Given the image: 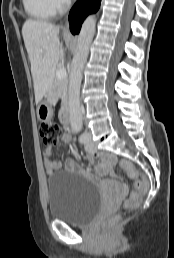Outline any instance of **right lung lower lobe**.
I'll return each instance as SVG.
<instances>
[{"label":"right lung lower lobe","mask_w":174,"mask_h":258,"mask_svg":"<svg viewBox=\"0 0 174 258\" xmlns=\"http://www.w3.org/2000/svg\"><path fill=\"white\" fill-rule=\"evenodd\" d=\"M101 0H78L72 7L69 20L70 30L73 34H78L81 25L87 15L96 12L100 7Z\"/></svg>","instance_id":"obj_1"}]
</instances>
